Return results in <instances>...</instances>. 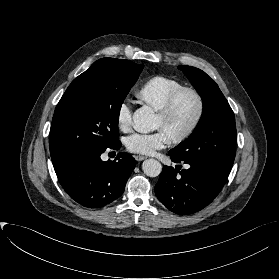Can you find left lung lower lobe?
I'll return each mask as SVG.
<instances>
[{"mask_svg": "<svg viewBox=\"0 0 279 279\" xmlns=\"http://www.w3.org/2000/svg\"><path fill=\"white\" fill-rule=\"evenodd\" d=\"M173 162L181 160L169 153ZM187 170L165 166L155 186L159 201L170 211L188 215L210 204L223 188L229 173L215 165L184 161Z\"/></svg>", "mask_w": 279, "mask_h": 279, "instance_id": "0a47b994", "label": "left lung lower lobe"}]
</instances>
